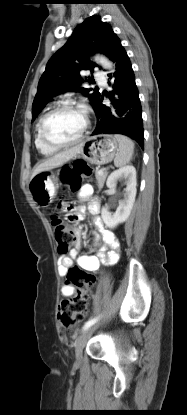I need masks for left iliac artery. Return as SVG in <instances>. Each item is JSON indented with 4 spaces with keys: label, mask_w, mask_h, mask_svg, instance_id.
<instances>
[{
    "label": "left iliac artery",
    "mask_w": 187,
    "mask_h": 415,
    "mask_svg": "<svg viewBox=\"0 0 187 415\" xmlns=\"http://www.w3.org/2000/svg\"><path fill=\"white\" fill-rule=\"evenodd\" d=\"M100 316L92 318L90 320H88L84 326H83V330L87 329L88 327H90L91 325L95 324L98 320H99Z\"/></svg>",
    "instance_id": "left-iliac-artery-1"
}]
</instances>
